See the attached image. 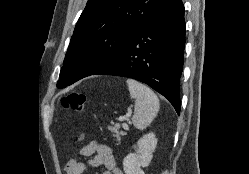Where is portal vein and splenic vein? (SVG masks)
<instances>
[{
  "mask_svg": "<svg viewBox=\"0 0 249 174\" xmlns=\"http://www.w3.org/2000/svg\"><path fill=\"white\" fill-rule=\"evenodd\" d=\"M119 120H120V121H128V120H129V115L121 116V117L119 118ZM123 128H124L125 130H128V129H129L128 124H127V123H123Z\"/></svg>",
  "mask_w": 249,
  "mask_h": 174,
  "instance_id": "portal-vein-and-splenic-vein-1",
  "label": "portal vein and splenic vein"
}]
</instances>
